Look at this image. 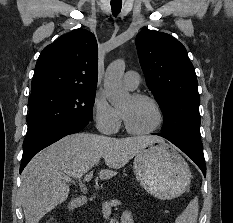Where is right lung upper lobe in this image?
<instances>
[{"instance_id":"obj_1","label":"right lung upper lobe","mask_w":233,"mask_h":223,"mask_svg":"<svg viewBox=\"0 0 233 223\" xmlns=\"http://www.w3.org/2000/svg\"><path fill=\"white\" fill-rule=\"evenodd\" d=\"M98 46L94 34L75 29L41 52L31 94L58 88L96 89Z\"/></svg>"}]
</instances>
